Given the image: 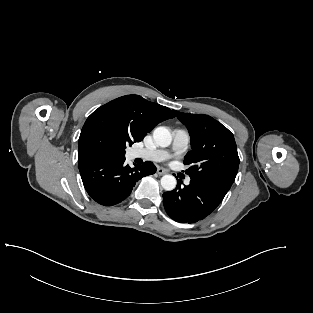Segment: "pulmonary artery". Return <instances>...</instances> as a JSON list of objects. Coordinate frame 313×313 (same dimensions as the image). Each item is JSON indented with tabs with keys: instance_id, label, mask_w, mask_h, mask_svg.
Listing matches in <instances>:
<instances>
[{
	"instance_id": "obj_1",
	"label": "pulmonary artery",
	"mask_w": 313,
	"mask_h": 313,
	"mask_svg": "<svg viewBox=\"0 0 313 313\" xmlns=\"http://www.w3.org/2000/svg\"><path fill=\"white\" fill-rule=\"evenodd\" d=\"M172 137V145L169 150L140 148L134 149L131 155L133 158L162 162L169 159L172 155L183 153L190 143L189 133L184 129H175L172 133ZM185 183L188 185L190 179H187Z\"/></svg>"
}]
</instances>
